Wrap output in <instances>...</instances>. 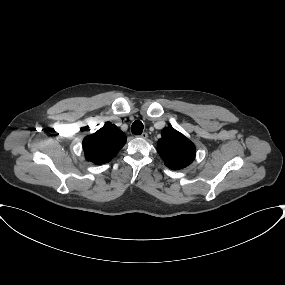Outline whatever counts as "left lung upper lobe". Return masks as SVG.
Here are the masks:
<instances>
[{"instance_id": "5c2ea615", "label": "left lung upper lobe", "mask_w": 285, "mask_h": 285, "mask_svg": "<svg viewBox=\"0 0 285 285\" xmlns=\"http://www.w3.org/2000/svg\"><path fill=\"white\" fill-rule=\"evenodd\" d=\"M157 151L165 165L173 170L187 167L195 158V146L183 134L172 127L162 130Z\"/></svg>"}]
</instances>
